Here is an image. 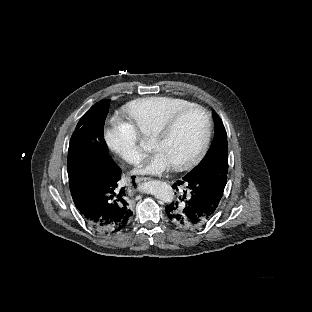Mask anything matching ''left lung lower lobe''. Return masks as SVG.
<instances>
[{"mask_svg": "<svg viewBox=\"0 0 312 312\" xmlns=\"http://www.w3.org/2000/svg\"><path fill=\"white\" fill-rule=\"evenodd\" d=\"M227 182V172L206 170L192 177L184 176L173 185L183 187L181 202L166 206L169 222L191 229L204 226L217 212Z\"/></svg>", "mask_w": 312, "mask_h": 312, "instance_id": "obj_1", "label": "left lung lower lobe"}]
</instances>
